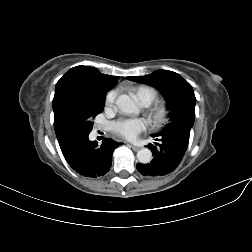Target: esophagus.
I'll use <instances>...</instances> for the list:
<instances>
[{"label":"esophagus","instance_id":"obj_1","mask_svg":"<svg viewBox=\"0 0 252 252\" xmlns=\"http://www.w3.org/2000/svg\"><path fill=\"white\" fill-rule=\"evenodd\" d=\"M131 147L134 151H138L141 148L140 146H136V145H131Z\"/></svg>","mask_w":252,"mask_h":252}]
</instances>
